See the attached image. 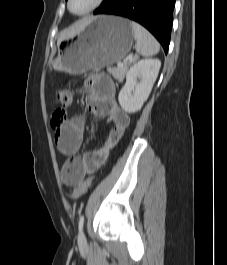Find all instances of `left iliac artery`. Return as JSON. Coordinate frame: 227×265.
Wrapping results in <instances>:
<instances>
[{
    "mask_svg": "<svg viewBox=\"0 0 227 265\" xmlns=\"http://www.w3.org/2000/svg\"><path fill=\"white\" fill-rule=\"evenodd\" d=\"M83 223H84V216L81 215V216H80V220H79V231L82 230V228H83Z\"/></svg>",
    "mask_w": 227,
    "mask_h": 265,
    "instance_id": "44dca946",
    "label": "left iliac artery"
}]
</instances>
